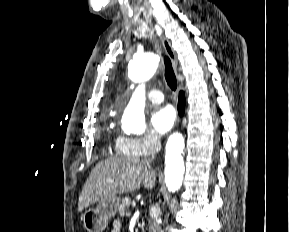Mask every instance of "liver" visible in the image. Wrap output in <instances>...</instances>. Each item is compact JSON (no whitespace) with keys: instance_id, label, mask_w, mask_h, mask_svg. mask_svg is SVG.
<instances>
[{"instance_id":"1","label":"liver","mask_w":289,"mask_h":232,"mask_svg":"<svg viewBox=\"0 0 289 232\" xmlns=\"http://www.w3.org/2000/svg\"><path fill=\"white\" fill-rule=\"evenodd\" d=\"M112 180V182H108ZM156 170L137 157H110L99 162L89 174L78 201V211L116 194L138 190L141 185L152 189Z\"/></svg>"}]
</instances>
